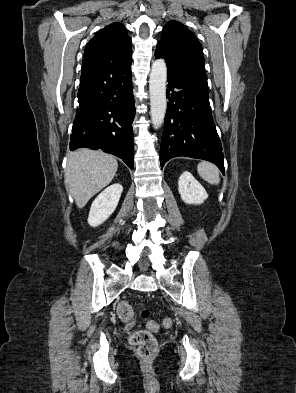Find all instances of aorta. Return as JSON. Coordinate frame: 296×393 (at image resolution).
Here are the masks:
<instances>
[{
    "label": "aorta",
    "instance_id": "aorta-1",
    "mask_svg": "<svg viewBox=\"0 0 296 393\" xmlns=\"http://www.w3.org/2000/svg\"><path fill=\"white\" fill-rule=\"evenodd\" d=\"M167 67L164 59H157L151 67L149 79L150 114L154 128H159L164 122L166 100Z\"/></svg>",
    "mask_w": 296,
    "mask_h": 393
}]
</instances>
